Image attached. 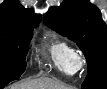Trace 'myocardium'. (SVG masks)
Masks as SVG:
<instances>
[{
  "label": "myocardium",
  "mask_w": 107,
  "mask_h": 89,
  "mask_svg": "<svg viewBox=\"0 0 107 89\" xmlns=\"http://www.w3.org/2000/svg\"><path fill=\"white\" fill-rule=\"evenodd\" d=\"M85 64H86L85 58L81 54L77 53L73 59V65L75 70L78 71L82 69L85 66Z\"/></svg>",
  "instance_id": "obj_1"
}]
</instances>
